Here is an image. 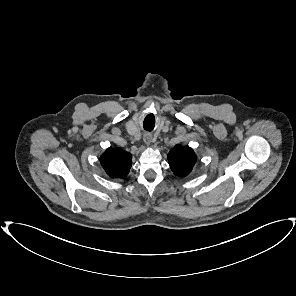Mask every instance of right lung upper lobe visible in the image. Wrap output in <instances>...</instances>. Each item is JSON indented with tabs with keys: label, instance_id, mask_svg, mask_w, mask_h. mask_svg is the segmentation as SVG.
<instances>
[{
	"label": "right lung upper lobe",
	"instance_id": "cb5924a9",
	"mask_svg": "<svg viewBox=\"0 0 296 296\" xmlns=\"http://www.w3.org/2000/svg\"><path fill=\"white\" fill-rule=\"evenodd\" d=\"M100 160L111 178H124L131 168L132 155L119 148H108Z\"/></svg>",
	"mask_w": 296,
	"mask_h": 296
}]
</instances>
